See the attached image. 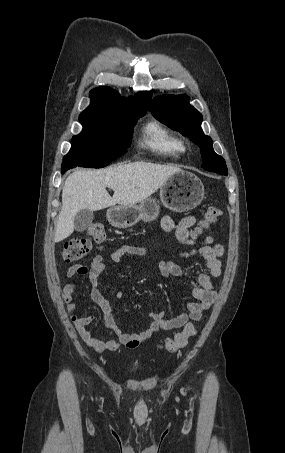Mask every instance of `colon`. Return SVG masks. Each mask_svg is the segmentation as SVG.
<instances>
[{"label": "colon", "mask_w": 285, "mask_h": 453, "mask_svg": "<svg viewBox=\"0 0 285 453\" xmlns=\"http://www.w3.org/2000/svg\"><path fill=\"white\" fill-rule=\"evenodd\" d=\"M220 216L221 211L218 208L209 207L199 226L195 228L193 236L197 237L201 235L205 230L209 229L212 224L216 223ZM105 240L106 232L104 226L99 222H94L88 227L85 236L72 238L65 243L62 251V258L68 263L79 261L91 252L94 245L100 246ZM196 332V326L193 323H189L173 338L167 339L161 348L167 352H175L182 349L187 346L190 338H192Z\"/></svg>", "instance_id": "5ec220e1"}]
</instances>
